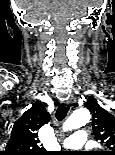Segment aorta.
<instances>
[{
	"mask_svg": "<svg viewBox=\"0 0 115 155\" xmlns=\"http://www.w3.org/2000/svg\"><path fill=\"white\" fill-rule=\"evenodd\" d=\"M90 118V112L87 109L76 110L63 124V131L66 132L85 126Z\"/></svg>",
	"mask_w": 115,
	"mask_h": 155,
	"instance_id": "762f6f07",
	"label": "aorta"
}]
</instances>
